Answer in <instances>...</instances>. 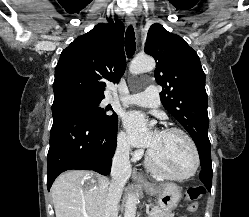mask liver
Listing matches in <instances>:
<instances>
[{
	"label": "liver",
	"mask_w": 249,
	"mask_h": 217,
	"mask_svg": "<svg viewBox=\"0 0 249 217\" xmlns=\"http://www.w3.org/2000/svg\"><path fill=\"white\" fill-rule=\"evenodd\" d=\"M86 180L89 185H84ZM109 184L106 177L92 171L61 174L51 188L56 217H105Z\"/></svg>",
	"instance_id": "obj_1"
}]
</instances>
